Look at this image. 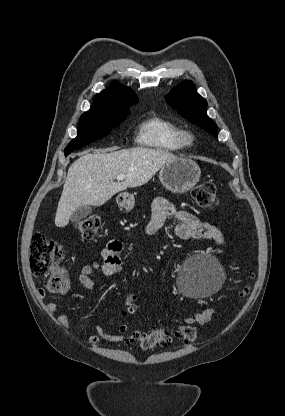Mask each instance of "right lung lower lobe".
Masks as SVG:
<instances>
[{"label":"right lung lower lobe","mask_w":285,"mask_h":416,"mask_svg":"<svg viewBox=\"0 0 285 416\" xmlns=\"http://www.w3.org/2000/svg\"><path fill=\"white\" fill-rule=\"evenodd\" d=\"M69 154H70V152L65 153V155H69Z\"/></svg>","instance_id":"98d812e1"}]
</instances>
